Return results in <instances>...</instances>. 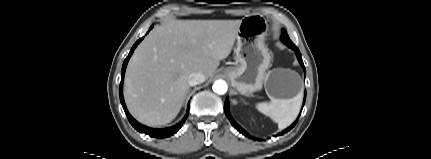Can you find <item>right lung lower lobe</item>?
<instances>
[{
    "mask_svg": "<svg viewBox=\"0 0 431 159\" xmlns=\"http://www.w3.org/2000/svg\"><path fill=\"white\" fill-rule=\"evenodd\" d=\"M152 29V27H151ZM143 38L139 39L131 48L130 53L128 54L127 58L124 60L123 66H122V71H121V82H120V88H119V94H120V101L122 104V107L128 117L129 122L131 123V125L139 132L141 133H145L151 137H156V138H165V137H169L173 134H175L183 125V123L185 122V120L187 119L188 113H189V104H188V109H187V113L185 115V117L183 118V120L178 123L177 125H174L172 127L169 128H165V129H152L146 126L141 125L140 123H138L135 119H133V117L129 114V112L126 109L125 103H124V99H123V81H124V74H125V69L128 63L129 58L131 57L134 49L136 48V46L142 41Z\"/></svg>",
    "mask_w": 431,
    "mask_h": 159,
    "instance_id": "right-lung-lower-lobe-1",
    "label": "right lung lower lobe"
}]
</instances>
